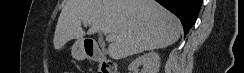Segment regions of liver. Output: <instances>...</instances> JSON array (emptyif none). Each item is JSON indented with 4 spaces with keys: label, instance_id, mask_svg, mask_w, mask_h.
<instances>
[{
    "label": "liver",
    "instance_id": "liver-1",
    "mask_svg": "<svg viewBox=\"0 0 244 73\" xmlns=\"http://www.w3.org/2000/svg\"><path fill=\"white\" fill-rule=\"evenodd\" d=\"M88 24L85 32L81 23ZM99 31L114 35L108 47L112 59L166 48L180 38L179 19L154 0H67L55 29L53 44L83 41Z\"/></svg>",
    "mask_w": 244,
    "mask_h": 73
}]
</instances>
